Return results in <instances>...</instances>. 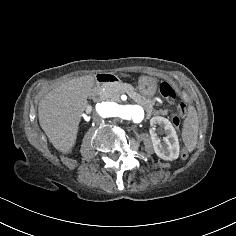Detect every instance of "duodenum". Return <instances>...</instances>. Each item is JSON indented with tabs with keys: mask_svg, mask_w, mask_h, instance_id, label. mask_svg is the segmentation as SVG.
<instances>
[{
	"mask_svg": "<svg viewBox=\"0 0 236 236\" xmlns=\"http://www.w3.org/2000/svg\"><path fill=\"white\" fill-rule=\"evenodd\" d=\"M119 81V78L112 73H100L96 76L95 84L104 85L110 83H116Z\"/></svg>",
	"mask_w": 236,
	"mask_h": 236,
	"instance_id": "obj_1",
	"label": "duodenum"
}]
</instances>
